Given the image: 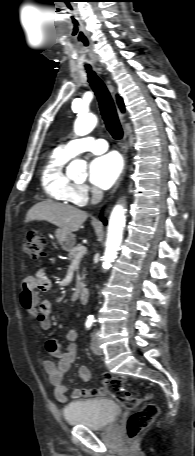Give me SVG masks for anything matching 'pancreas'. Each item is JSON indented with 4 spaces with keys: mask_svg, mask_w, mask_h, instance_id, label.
Instances as JSON below:
<instances>
[{
    "mask_svg": "<svg viewBox=\"0 0 195 456\" xmlns=\"http://www.w3.org/2000/svg\"><path fill=\"white\" fill-rule=\"evenodd\" d=\"M81 245H76L74 247H72L71 249H69V254H68V257L70 260H73V259H76L79 254H78V248L80 247ZM86 253V252H85ZM85 253L81 254L80 256H83ZM84 275L80 278L77 279V284L78 286L80 287H83L84 286V283L82 282V280L84 279Z\"/></svg>",
    "mask_w": 195,
    "mask_h": 456,
    "instance_id": "1",
    "label": "pancreas"
}]
</instances>
